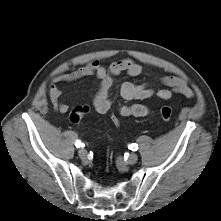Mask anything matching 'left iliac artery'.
<instances>
[{
    "label": "left iliac artery",
    "instance_id": "obj_1",
    "mask_svg": "<svg viewBox=\"0 0 221 221\" xmlns=\"http://www.w3.org/2000/svg\"><path fill=\"white\" fill-rule=\"evenodd\" d=\"M129 148L132 150V151H137L138 150V145L136 143H133L131 145H129Z\"/></svg>",
    "mask_w": 221,
    "mask_h": 221
}]
</instances>
